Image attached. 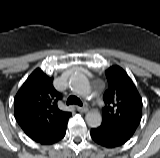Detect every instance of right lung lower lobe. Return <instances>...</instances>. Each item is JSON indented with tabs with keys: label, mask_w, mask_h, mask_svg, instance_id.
Returning a JSON list of instances; mask_svg holds the SVG:
<instances>
[{
	"label": "right lung lower lobe",
	"mask_w": 160,
	"mask_h": 158,
	"mask_svg": "<svg viewBox=\"0 0 160 158\" xmlns=\"http://www.w3.org/2000/svg\"><path fill=\"white\" fill-rule=\"evenodd\" d=\"M66 128H67V123L57 133L39 141V143L43 145L56 143L57 141L61 140L65 136Z\"/></svg>",
	"instance_id": "1"
}]
</instances>
